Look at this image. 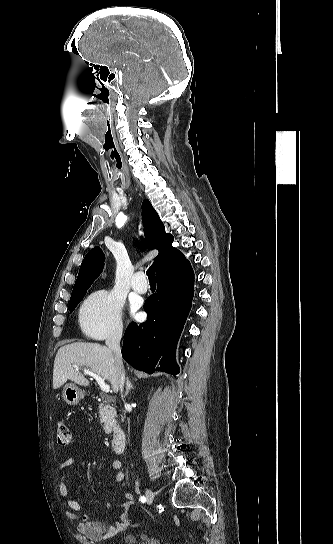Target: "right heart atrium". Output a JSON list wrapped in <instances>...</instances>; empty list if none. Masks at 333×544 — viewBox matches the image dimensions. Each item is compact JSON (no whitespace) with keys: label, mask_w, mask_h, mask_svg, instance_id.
Masks as SVG:
<instances>
[{"label":"right heart atrium","mask_w":333,"mask_h":544,"mask_svg":"<svg viewBox=\"0 0 333 544\" xmlns=\"http://www.w3.org/2000/svg\"><path fill=\"white\" fill-rule=\"evenodd\" d=\"M123 300L112 290H98L83 303L79 322L83 332L94 339L118 338L123 331Z\"/></svg>","instance_id":"obj_1"}]
</instances>
